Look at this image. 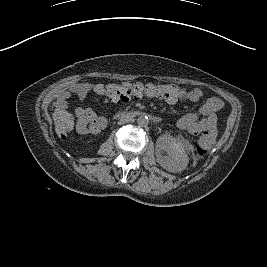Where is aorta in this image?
I'll return each instance as SVG.
<instances>
[{
	"label": "aorta",
	"instance_id": "1",
	"mask_svg": "<svg viewBox=\"0 0 267 267\" xmlns=\"http://www.w3.org/2000/svg\"><path fill=\"white\" fill-rule=\"evenodd\" d=\"M137 123L140 127H146L149 124V119L147 116H140L137 119Z\"/></svg>",
	"mask_w": 267,
	"mask_h": 267
}]
</instances>
